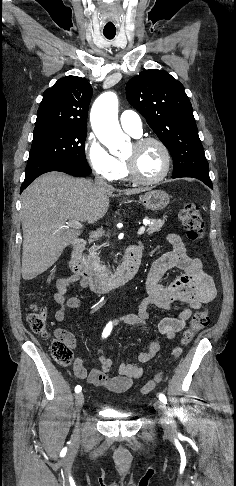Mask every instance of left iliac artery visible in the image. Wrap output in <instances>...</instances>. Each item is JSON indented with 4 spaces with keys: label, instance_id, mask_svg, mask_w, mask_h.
Returning <instances> with one entry per match:
<instances>
[{
    "label": "left iliac artery",
    "instance_id": "left-iliac-artery-1",
    "mask_svg": "<svg viewBox=\"0 0 236 486\" xmlns=\"http://www.w3.org/2000/svg\"><path fill=\"white\" fill-rule=\"evenodd\" d=\"M159 400H160L161 402H163L164 404H166V403H167L166 396H165L164 394H162V393H160V394H159Z\"/></svg>",
    "mask_w": 236,
    "mask_h": 486
}]
</instances>
